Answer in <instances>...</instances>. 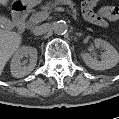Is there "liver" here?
<instances>
[{
	"label": "liver",
	"mask_w": 119,
	"mask_h": 119,
	"mask_svg": "<svg viewBox=\"0 0 119 119\" xmlns=\"http://www.w3.org/2000/svg\"><path fill=\"white\" fill-rule=\"evenodd\" d=\"M8 1L9 0H0V4L7 6ZM21 42L22 37L20 34L0 28V76L7 61H9L12 55L18 50Z\"/></svg>",
	"instance_id": "liver-1"
}]
</instances>
